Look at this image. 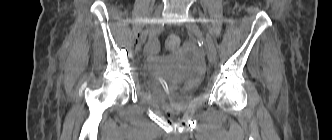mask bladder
Masks as SVG:
<instances>
[{"label":"bladder","instance_id":"1","mask_svg":"<svg viewBox=\"0 0 332 140\" xmlns=\"http://www.w3.org/2000/svg\"><path fill=\"white\" fill-rule=\"evenodd\" d=\"M202 83L200 78H191L178 89L177 92H166L156 86L152 87V93L158 104L170 111H179L190 102L194 93L198 90Z\"/></svg>","mask_w":332,"mask_h":140}]
</instances>
